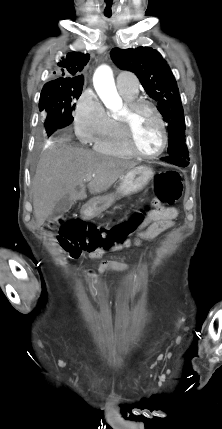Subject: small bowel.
<instances>
[{
	"mask_svg": "<svg viewBox=\"0 0 222 429\" xmlns=\"http://www.w3.org/2000/svg\"><path fill=\"white\" fill-rule=\"evenodd\" d=\"M178 215V210L174 207H162L156 204L155 209L150 211L140 226V230L134 240H127L125 243L118 245L107 251H96L88 253L90 259H99L107 253L119 252L131 246L146 247L147 242L155 239L162 232L170 229L175 224V219ZM128 265L123 262L106 260L102 261L94 274H103L106 271H127Z\"/></svg>",
	"mask_w": 222,
	"mask_h": 429,
	"instance_id": "obj_1",
	"label": "small bowel"
}]
</instances>
